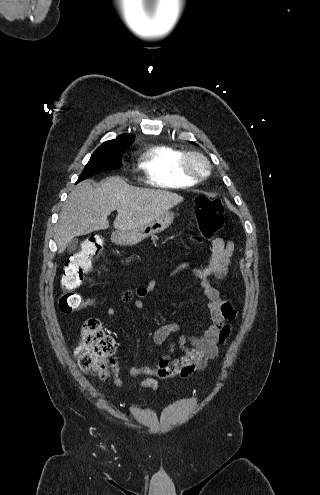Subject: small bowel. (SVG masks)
I'll return each instance as SVG.
<instances>
[{
	"mask_svg": "<svg viewBox=\"0 0 320 495\" xmlns=\"http://www.w3.org/2000/svg\"><path fill=\"white\" fill-rule=\"evenodd\" d=\"M234 255V243L225 241L221 237H215L211 244V255L209 262L204 267H190L182 263L172 273L171 276L179 271L190 270L191 273L200 281L207 299V308L209 311L210 322L206 329L200 335L182 336L177 344L170 345L169 353L163 355L158 360L156 367L145 365H135L130 369L132 376L145 375L146 379L136 384L139 388H148L156 390L158 382L156 378H186L195 372L203 370L207 363L218 357L219 344H226L231 332V321L237 316V311L228 300L223 298L217 288L214 287L211 278L222 277L226 274L232 263ZM156 283L149 282L146 286L124 291L121 300L124 303L133 302V305L143 310L146 306L144 299L155 291ZM136 295V298L134 296ZM108 316H115L117 309L109 307L106 311ZM180 330V324L171 322L159 327L154 331L151 342L158 346L163 344L170 335ZM176 345L182 350L183 355L172 359L171 354ZM113 383L116 387L123 386V380L120 377V368L115 365L113 368Z\"/></svg>",
	"mask_w": 320,
	"mask_h": 495,
	"instance_id": "c3829d8e",
	"label": "small bowel"
}]
</instances>
